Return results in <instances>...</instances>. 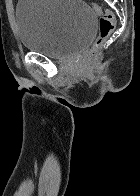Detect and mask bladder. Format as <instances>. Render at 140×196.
<instances>
[{
	"label": "bladder",
	"instance_id": "obj_1",
	"mask_svg": "<svg viewBox=\"0 0 140 196\" xmlns=\"http://www.w3.org/2000/svg\"><path fill=\"white\" fill-rule=\"evenodd\" d=\"M97 13L82 0H19L15 22L19 41L28 51L65 59L89 46Z\"/></svg>",
	"mask_w": 140,
	"mask_h": 196
}]
</instances>
